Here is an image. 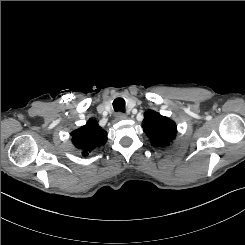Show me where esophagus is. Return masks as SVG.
Instances as JSON below:
<instances>
[{
	"label": "esophagus",
	"instance_id": "obj_1",
	"mask_svg": "<svg viewBox=\"0 0 245 245\" xmlns=\"http://www.w3.org/2000/svg\"><path fill=\"white\" fill-rule=\"evenodd\" d=\"M126 118H127V116L124 113H122V112H119V113L116 114V119L117 120H124Z\"/></svg>",
	"mask_w": 245,
	"mask_h": 245
}]
</instances>
